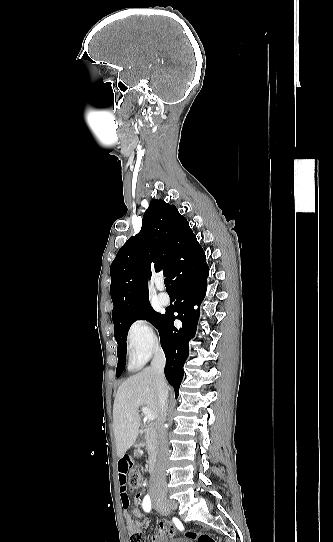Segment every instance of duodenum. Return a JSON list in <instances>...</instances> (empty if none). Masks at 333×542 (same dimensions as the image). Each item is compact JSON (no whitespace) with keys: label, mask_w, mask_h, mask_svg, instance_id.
I'll return each mask as SVG.
<instances>
[{"label":"duodenum","mask_w":333,"mask_h":542,"mask_svg":"<svg viewBox=\"0 0 333 542\" xmlns=\"http://www.w3.org/2000/svg\"><path fill=\"white\" fill-rule=\"evenodd\" d=\"M136 444L138 446L147 445L150 448V457L148 460V470L150 473H153L156 470L157 466V439L152 432H145L136 439Z\"/></svg>","instance_id":"410a0bca"}]
</instances>
